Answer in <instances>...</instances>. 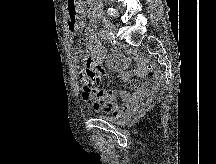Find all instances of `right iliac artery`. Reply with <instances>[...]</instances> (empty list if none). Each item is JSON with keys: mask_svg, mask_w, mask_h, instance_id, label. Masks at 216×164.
<instances>
[{"mask_svg": "<svg viewBox=\"0 0 216 164\" xmlns=\"http://www.w3.org/2000/svg\"><path fill=\"white\" fill-rule=\"evenodd\" d=\"M100 33H101V37L104 40L109 41V42L112 43L114 37L111 35V33L107 32V31H104V30H102Z\"/></svg>", "mask_w": 216, "mask_h": 164, "instance_id": "1", "label": "right iliac artery"}]
</instances>
